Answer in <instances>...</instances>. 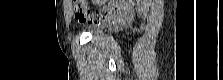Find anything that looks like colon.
<instances>
[{"mask_svg": "<svg viewBox=\"0 0 223 80\" xmlns=\"http://www.w3.org/2000/svg\"><path fill=\"white\" fill-rule=\"evenodd\" d=\"M125 2V0H111L108 2L107 6L92 12L87 9L83 0L73 1L76 18L81 23H86L89 25H98L104 22L110 16V13L113 9L122 7Z\"/></svg>", "mask_w": 223, "mask_h": 80, "instance_id": "1", "label": "colon"}]
</instances>
